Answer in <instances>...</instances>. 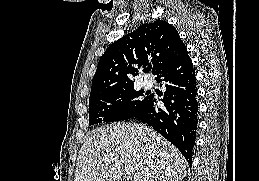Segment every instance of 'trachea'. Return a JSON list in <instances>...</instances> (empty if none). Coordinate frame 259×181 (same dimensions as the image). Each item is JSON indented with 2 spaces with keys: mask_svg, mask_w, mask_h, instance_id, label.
Returning a JSON list of instances; mask_svg holds the SVG:
<instances>
[{
  "mask_svg": "<svg viewBox=\"0 0 259 181\" xmlns=\"http://www.w3.org/2000/svg\"><path fill=\"white\" fill-rule=\"evenodd\" d=\"M150 70H151V68H147V69H146V72H149Z\"/></svg>",
  "mask_w": 259,
  "mask_h": 181,
  "instance_id": "trachea-1",
  "label": "trachea"
}]
</instances>
